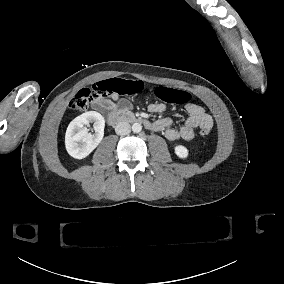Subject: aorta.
Here are the masks:
<instances>
[{"label":"aorta","mask_w":284,"mask_h":284,"mask_svg":"<svg viewBox=\"0 0 284 284\" xmlns=\"http://www.w3.org/2000/svg\"><path fill=\"white\" fill-rule=\"evenodd\" d=\"M141 130H142L141 124H139V123H134V124L132 125V131H133L134 133H139V132H141Z\"/></svg>","instance_id":"aorta-1"}]
</instances>
